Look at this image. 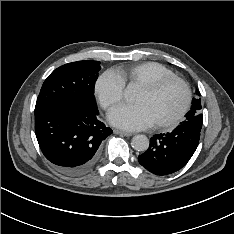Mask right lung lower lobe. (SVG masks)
I'll return each mask as SVG.
<instances>
[{
  "label": "right lung lower lobe",
  "mask_w": 234,
  "mask_h": 234,
  "mask_svg": "<svg viewBox=\"0 0 234 234\" xmlns=\"http://www.w3.org/2000/svg\"><path fill=\"white\" fill-rule=\"evenodd\" d=\"M98 110L57 103L35 111V133L44 156L68 175L87 172L99 146L112 130L97 119Z\"/></svg>",
  "instance_id": "obj_1"
}]
</instances>
